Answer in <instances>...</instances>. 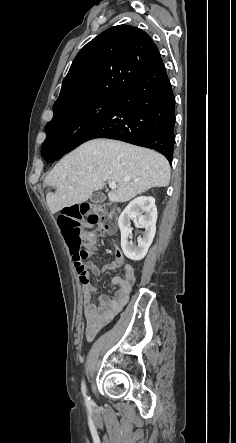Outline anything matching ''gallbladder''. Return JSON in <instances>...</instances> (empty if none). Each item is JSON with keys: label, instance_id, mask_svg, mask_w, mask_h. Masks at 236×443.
Wrapping results in <instances>:
<instances>
[{"label": "gallbladder", "instance_id": "obj_1", "mask_svg": "<svg viewBox=\"0 0 236 443\" xmlns=\"http://www.w3.org/2000/svg\"><path fill=\"white\" fill-rule=\"evenodd\" d=\"M106 200V196L101 192H95L91 196V201L93 203H101Z\"/></svg>", "mask_w": 236, "mask_h": 443}]
</instances>
